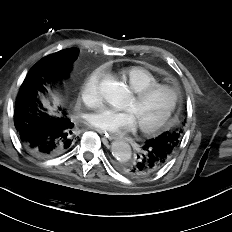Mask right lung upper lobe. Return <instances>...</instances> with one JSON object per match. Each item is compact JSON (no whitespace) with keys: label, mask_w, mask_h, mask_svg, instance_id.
<instances>
[{"label":"right lung upper lobe","mask_w":232,"mask_h":232,"mask_svg":"<svg viewBox=\"0 0 232 232\" xmlns=\"http://www.w3.org/2000/svg\"><path fill=\"white\" fill-rule=\"evenodd\" d=\"M67 50V49H66ZM68 50H74L76 52V55H77V49L75 48H71V49H68ZM64 51V50H63Z\"/></svg>","instance_id":"1"}]
</instances>
